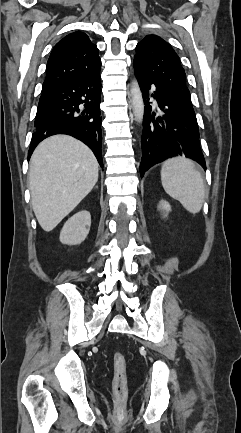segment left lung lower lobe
<instances>
[{"instance_id": "left-lung-lower-lobe-1", "label": "left lung lower lobe", "mask_w": 241, "mask_h": 433, "mask_svg": "<svg viewBox=\"0 0 241 433\" xmlns=\"http://www.w3.org/2000/svg\"><path fill=\"white\" fill-rule=\"evenodd\" d=\"M135 75L145 104L141 176L153 165L174 156L193 159L206 169L196 118L162 86L137 72ZM151 97L156 104L149 101Z\"/></svg>"}]
</instances>
